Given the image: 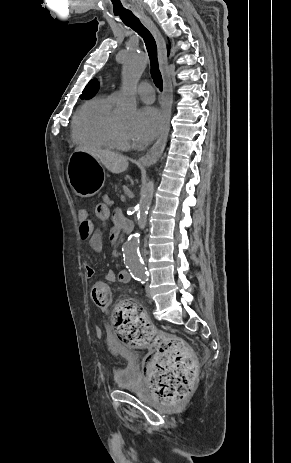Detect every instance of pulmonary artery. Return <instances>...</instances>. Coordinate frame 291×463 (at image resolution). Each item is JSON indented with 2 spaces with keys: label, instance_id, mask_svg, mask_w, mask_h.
<instances>
[{
  "label": "pulmonary artery",
  "instance_id": "pulmonary-artery-1",
  "mask_svg": "<svg viewBox=\"0 0 291 463\" xmlns=\"http://www.w3.org/2000/svg\"><path fill=\"white\" fill-rule=\"evenodd\" d=\"M135 92L138 95V97L142 101H144L145 103H152L154 101V99H155L154 89H153L152 85H150L147 82L140 83L137 86ZM113 96L117 100L120 97V94L118 92H114Z\"/></svg>",
  "mask_w": 291,
  "mask_h": 463
}]
</instances>
